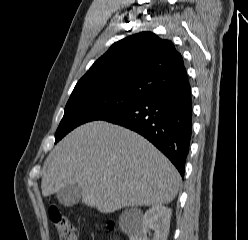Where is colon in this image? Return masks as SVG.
<instances>
[{
    "label": "colon",
    "instance_id": "colon-1",
    "mask_svg": "<svg viewBox=\"0 0 248 240\" xmlns=\"http://www.w3.org/2000/svg\"><path fill=\"white\" fill-rule=\"evenodd\" d=\"M49 218L56 227L60 240H78V231L71 220L56 206L49 208ZM109 230H114V224H109Z\"/></svg>",
    "mask_w": 248,
    "mask_h": 240
}]
</instances>
